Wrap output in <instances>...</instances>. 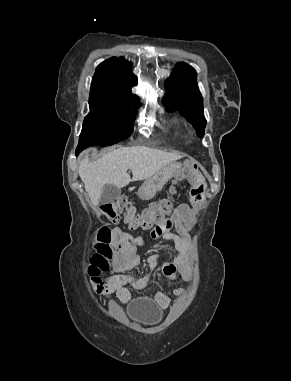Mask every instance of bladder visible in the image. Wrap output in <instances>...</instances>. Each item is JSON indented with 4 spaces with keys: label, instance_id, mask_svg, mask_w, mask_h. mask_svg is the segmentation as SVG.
<instances>
[{
    "label": "bladder",
    "instance_id": "31cf9c89",
    "mask_svg": "<svg viewBox=\"0 0 291 381\" xmlns=\"http://www.w3.org/2000/svg\"><path fill=\"white\" fill-rule=\"evenodd\" d=\"M127 315L138 324L150 325L161 318L162 311L154 308L148 299L138 298L128 302Z\"/></svg>",
    "mask_w": 291,
    "mask_h": 381
}]
</instances>
